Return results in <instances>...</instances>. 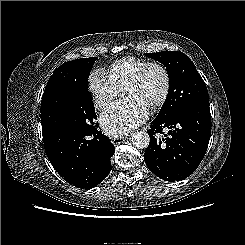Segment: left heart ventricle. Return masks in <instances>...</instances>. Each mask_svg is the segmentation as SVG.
I'll use <instances>...</instances> for the list:
<instances>
[{"label":"left heart ventricle","instance_id":"1","mask_svg":"<svg viewBox=\"0 0 245 245\" xmlns=\"http://www.w3.org/2000/svg\"><path fill=\"white\" fill-rule=\"evenodd\" d=\"M164 80L161 71L157 68L150 69L141 83L123 89L124 98L136 97L148 106L157 100L163 90Z\"/></svg>","mask_w":245,"mask_h":245}]
</instances>
